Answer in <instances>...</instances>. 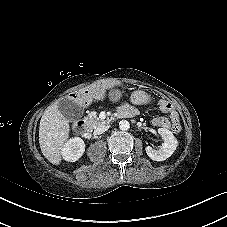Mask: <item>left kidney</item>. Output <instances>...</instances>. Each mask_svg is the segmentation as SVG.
<instances>
[{
    "mask_svg": "<svg viewBox=\"0 0 227 227\" xmlns=\"http://www.w3.org/2000/svg\"><path fill=\"white\" fill-rule=\"evenodd\" d=\"M158 133L162 137L164 143L160 148L153 149L150 146L145 148L147 155L154 161H164L169 158L176 150L178 141L174 137L173 133L165 128H159Z\"/></svg>",
    "mask_w": 227,
    "mask_h": 227,
    "instance_id": "1",
    "label": "left kidney"
}]
</instances>
